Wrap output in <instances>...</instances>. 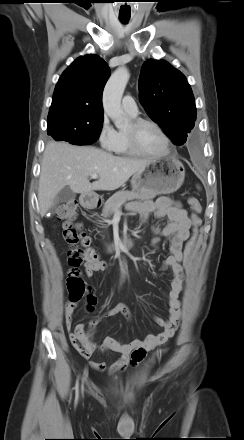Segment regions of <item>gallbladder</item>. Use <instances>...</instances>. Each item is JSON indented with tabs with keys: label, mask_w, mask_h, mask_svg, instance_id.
<instances>
[{
	"label": "gallbladder",
	"mask_w": 244,
	"mask_h": 440,
	"mask_svg": "<svg viewBox=\"0 0 244 440\" xmlns=\"http://www.w3.org/2000/svg\"><path fill=\"white\" fill-rule=\"evenodd\" d=\"M76 194L69 188L64 187L56 196L54 205L50 208L51 213H55L61 203H67L75 199Z\"/></svg>",
	"instance_id": "bac80fb5"
}]
</instances>
